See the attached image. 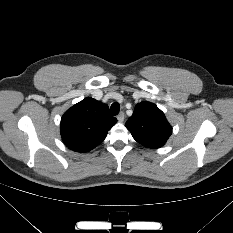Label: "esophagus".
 <instances>
[{
  "mask_svg": "<svg viewBox=\"0 0 233 233\" xmlns=\"http://www.w3.org/2000/svg\"><path fill=\"white\" fill-rule=\"evenodd\" d=\"M124 117H125L124 113L121 112V113L118 114L117 120H118L119 122H123V121H124Z\"/></svg>",
  "mask_w": 233,
  "mask_h": 233,
  "instance_id": "obj_1",
  "label": "esophagus"
}]
</instances>
